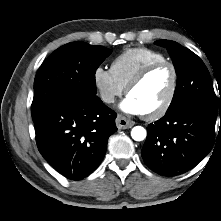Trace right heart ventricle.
<instances>
[{
  "label": "right heart ventricle",
  "instance_id": "right-heart-ventricle-1",
  "mask_svg": "<svg viewBox=\"0 0 221 221\" xmlns=\"http://www.w3.org/2000/svg\"><path fill=\"white\" fill-rule=\"evenodd\" d=\"M166 60L158 51L146 47H134L124 50L111 63V72L125 88L130 80L146 65Z\"/></svg>",
  "mask_w": 221,
  "mask_h": 221
}]
</instances>
